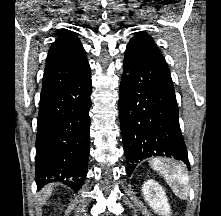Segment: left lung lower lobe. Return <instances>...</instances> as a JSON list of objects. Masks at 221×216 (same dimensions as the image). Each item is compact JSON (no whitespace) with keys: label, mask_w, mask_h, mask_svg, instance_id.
Segmentation results:
<instances>
[{"label":"left lung lower lobe","mask_w":221,"mask_h":216,"mask_svg":"<svg viewBox=\"0 0 221 216\" xmlns=\"http://www.w3.org/2000/svg\"><path fill=\"white\" fill-rule=\"evenodd\" d=\"M119 92V117L127 175L152 156H168L190 168L180 130L178 106L167 64L160 52L129 42Z\"/></svg>","instance_id":"0a47b994"}]
</instances>
